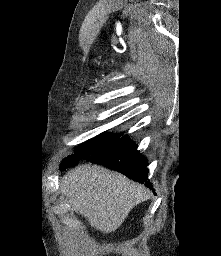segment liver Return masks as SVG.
<instances>
[{"instance_id": "6515ba94", "label": "liver", "mask_w": 221, "mask_h": 256, "mask_svg": "<svg viewBox=\"0 0 221 256\" xmlns=\"http://www.w3.org/2000/svg\"><path fill=\"white\" fill-rule=\"evenodd\" d=\"M60 188L72 209L106 234L114 232L147 195L143 186L121 173L96 165L72 169L62 178Z\"/></svg>"}]
</instances>
